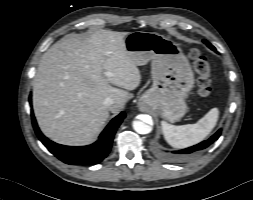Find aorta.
Here are the masks:
<instances>
[{"label":"aorta","mask_w":253,"mask_h":200,"mask_svg":"<svg viewBox=\"0 0 253 200\" xmlns=\"http://www.w3.org/2000/svg\"><path fill=\"white\" fill-rule=\"evenodd\" d=\"M133 128L137 133L143 134V135L150 133L152 130L151 126H149L148 124L142 121H134Z\"/></svg>","instance_id":"762f6f07"}]
</instances>
